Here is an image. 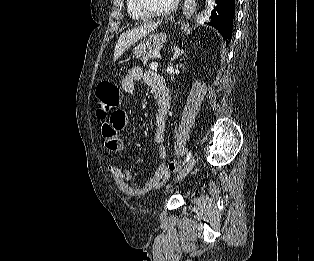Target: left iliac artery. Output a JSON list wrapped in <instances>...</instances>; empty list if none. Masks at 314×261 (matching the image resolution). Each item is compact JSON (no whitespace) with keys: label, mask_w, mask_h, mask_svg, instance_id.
Wrapping results in <instances>:
<instances>
[{"label":"left iliac artery","mask_w":314,"mask_h":261,"mask_svg":"<svg viewBox=\"0 0 314 261\" xmlns=\"http://www.w3.org/2000/svg\"><path fill=\"white\" fill-rule=\"evenodd\" d=\"M191 156H192V152L189 151V152L187 153V156H186V159H185V163L190 160Z\"/></svg>","instance_id":"obj_1"}]
</instances>
